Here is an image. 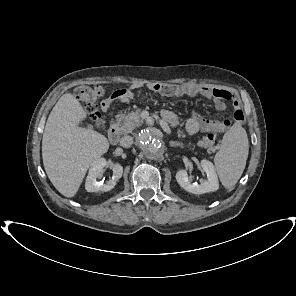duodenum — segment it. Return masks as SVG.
<instances>
[{
  "instance_id": "duodenum-1",
  "label": "duodenum",
  "mask_w": 296,
  "mask_h": 296,
  "mask_svg": "<svg viewBox=\"0 0 296 296\" xmlns=\"http://www.w3.org/2000/svg\"><path fill=\"white\" fill-rule=\"evenodd\" d=\"M108 138L112 144L117 143L120 138V130H119V127L115 123H112L109 127Z\"/></svg>"
}]
</instances>
